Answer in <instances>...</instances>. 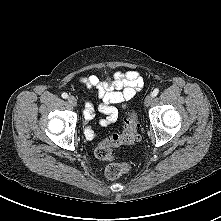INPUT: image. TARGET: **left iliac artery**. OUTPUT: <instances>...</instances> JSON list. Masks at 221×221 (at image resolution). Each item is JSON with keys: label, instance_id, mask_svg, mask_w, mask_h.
<instances>
[{"label": "left iliac artery", "instance_id": "1", "mask_svg": "<svg viewBox=\"0 0 221 221\" xmlns=\"http://www.w3.org/2000/svg\"><path fill=\"white\" fill-rule=\"evenodd\" d=\"M158 93H159V89L156 88V89H154V91L152 92V96L155 97V96H157Z\"/></svg>", "mask_w": 221, "mask_h": 221}]
</instances>
